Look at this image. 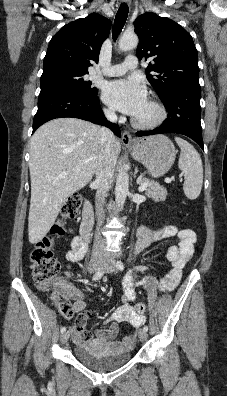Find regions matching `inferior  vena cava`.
Here are the masks:
<instances>
[{"instance_id": "obj_1", "label": "inferior vena cava", "mask_w": 227, "mask_h": 396, "mask_svg": "<svg viewBox=\"0 0 227 396\" xmlns=\"http://www.w3.org/2000/svg\"><path fill=\"white\" fill-rule=\"evenodd\" d=\"M104 114L106 118L115 122L117 116L113 109H105ZM114 139V134L108 128H101L100 130V145L101 152L99 155V163L96 170L95 184L97 187L96 192V215L98 220V228L94 238L93 245V255H106L105 251V241L99 232V226L102 224L104 219L103 204L105 201V196L107 191L110 189L117 158L112 150V140Z\"/></svg>"}]
</instances>
